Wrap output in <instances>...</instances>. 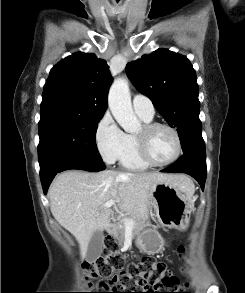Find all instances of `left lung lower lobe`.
Returning a JSON list of instances; mask_svg holds the SVG:
<instances>
[{
  "mask_svg": "<svg viewBox=\"0 0 245 293\" xmlns=\"http://www.w3.org/2000/svg\"><path fill=\"white\" fill-rule=\"evenodd\" d=\"M161 172H182L192 176L198 181L204 191L207 176L206 157L196 154H184L174 164L163 169Z\"/></svg>",
  "mask_w": 245,
  "mask_h": 293,
  "instance_id": "0a47b994",
  "label": "left lung lower lobe"
}]
</instances>
